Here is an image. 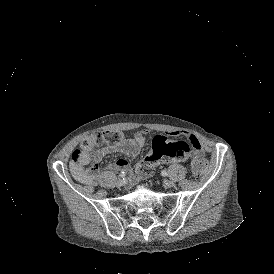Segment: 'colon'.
I'll use <instances>...</instances> for the list:
<instances>
[{
	"label": "colon",
	"mask_w": 274,
	"mask_h": 274,
	"mask_svg": "<svg viewBox=\"0 0 274 274\" xmlns=\"http://www.w3.org/2000/svg\"><path fill=\"white\" fill-rule=\"evenodd\" d=\"M120 139V134L114 131H99L91 134L90 136L83 139L81 142L83 152L85 154H91L94 149L103 142L109 144H115ZM83 152L80 149H75L71 154V160L73 162H79ZM194 162L192 163V171L194 178L197 177L196 173L203 174L207 172L209 164L207 162L208 156L206 152L199 150L195 152L193 156Z\"/></svg>",
	"instance_id": "colon-1"
}]
</instances>
